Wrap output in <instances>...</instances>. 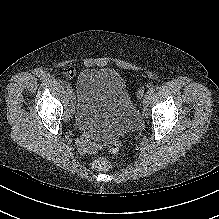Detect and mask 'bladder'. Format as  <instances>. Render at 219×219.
Masks as SVG:
<instances>
[{"mask_svg": "<svg viewBox=\"0 0 219 219\" xmlns=\"http://www.w3.org/2000/svg\"><path fill=\"white\" fill-rule=\"evenodd\" d=\"M76 97L73 121L79 130H94L112 137L136 127V113L126 83L115 70L85 68L77 79Z\"/></svg>", "mask_w": 219, "mask_h": 219, "instance_id": "31cf9c89", "label": "bladder"}]
</instances>
